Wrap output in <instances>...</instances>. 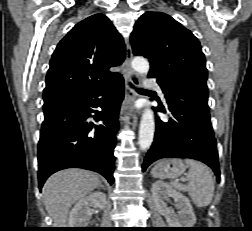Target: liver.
<instances>
[{
  "instance_id": "6515ba94",
  "label": "liver",
  "mask_w": 252,
  "mask_h": 231,
  "mask_svg": "<svg viewBox=\"0 0 252 231\" xmlns=\"http://www.w3.org/2000/svg\"><path fill=\"white\" fill-rule=\"evenodd\" d=\"M99 185L98 176L87 170L67 169L50 176L42 192L54 228L67 226L71 206Z\"/></svg>"
}]
</instances>
